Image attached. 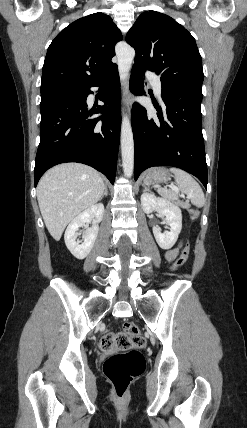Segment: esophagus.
Returning a JSON list of instances; mask_svg holds the SVG:
<instances>
[{
  "label": "esophagus",
  "instance_id": "esophagus-1",
  "mask_svg": "<svg viewBox=\"0 0 247 428\" xmlns=\"http://www.w3.org/2000/svg\"><path fill=\"white\" fill-rule=\"evenodd\" d=\"M123 102L126 106L128 114L130 115L132 102H131V94L129 90V79L126 81L123 87Z\"/></svg>",
  "mask_w": 247,
  "mask_h": 428
}]
</instances>
